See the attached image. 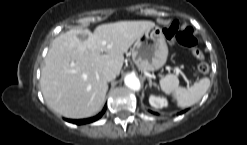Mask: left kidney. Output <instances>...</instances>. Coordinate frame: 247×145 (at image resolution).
Instances as JSON below:
<instances>
[{"instance_id": "5707ae66", "label": "left kidney", "mask_w": 247, "mask_h": 145, "mask_svg": "<svg viewBox=\"0 0 247 145\" xmlns=\"http://www.w3.org/2000/svg\"><path fill=\"white\" fill-rule=\"evenodd\" d=\"M149 103L152 107H154L156 109H161V108L166 107L168 105L166 98L154 96V95H151L149 97Z\"/></svg>"}]
</instances>
